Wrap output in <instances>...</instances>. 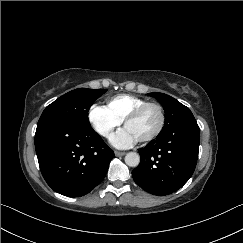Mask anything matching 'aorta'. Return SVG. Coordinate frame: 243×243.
<instances>
[{
  "instance_id": "762f6f07",
  "label": "aorta",
  "mask_w": 243,
  "mask_h": 243,
  "mask_svg": "<svg viewBox=\"0 0 243 243\" xmlns=\"http://www.w3.org/2000/svg\"><path fill=\"white\" fill-rule=\"evenodd\" d=\"M125 163L130 167H137L140 163V156L136 152H129L125 156Z\"/></svg>"
}]
</instances>
